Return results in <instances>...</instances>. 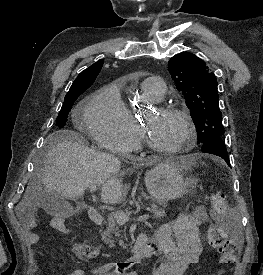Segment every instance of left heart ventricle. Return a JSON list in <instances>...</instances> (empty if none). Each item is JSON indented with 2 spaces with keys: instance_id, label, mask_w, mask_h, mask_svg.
<instances>
[{
  "instance_id": "b2bd125f",
  "label": "left heart ventricle",
  "mask_w": 263,
  "mask_h": 275,
  "mask_svg": "<svg viewBox=\"0 0 263 275\" xmlns=\"http://www.w3.org/2000/svg\"><path fill=\"white\" fill-rule=\"evenodd\" d=\"M143 124L153 143L162 148L177 147L187 133L186 124L181 118L156 111L148 114Z\"/></svg>"
}]
</instances>
